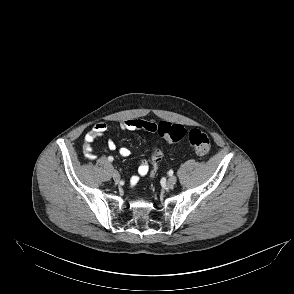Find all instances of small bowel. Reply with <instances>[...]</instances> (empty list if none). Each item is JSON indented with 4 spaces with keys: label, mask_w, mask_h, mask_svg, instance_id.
Returning a JSON list of instances; mask_svg holds the SVG:
<instances>
[{
    "label": "small bowel",
    "mask_w": 294,
    "mask_h": 294,
    "mask_svg": "<svg viewBox=\"0 0 294 294\" xmlns=\"http://www.w3.org/2000/svg\"><path fill=\"white\" fill-rule=\"evenodd\" d=\"M146 123L147 122L142 120L128 119V120H124L120 122L119 127L122 130H128V131L144 130V126ZM107 130H108V125L106 123L100 122L95 124L93 128L85 135L84 144H83V153L85 157L91 160L95 158L92 144L98 137H101ZM107 145L110 150L116 149V143L112 139L108 140ZM119 153L122 157H128L131 152L127 147H121L119 149ZM149 169H150L149 161L145 159H142L139 161L138 174L140 176H145L149 172ZM138 181H139V176L135 175L131 178L130 184L134 186L138 183Z\"/></svg>",
    "instance_id": "small-bowel-1"
}]
</instances>
